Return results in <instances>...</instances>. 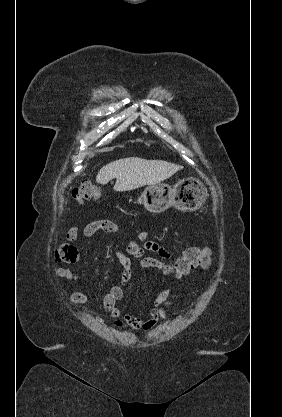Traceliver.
<instances>
[{"label": "liver", "instance_id": "6515ba94", "mask_svg": "<svg viewBox=\"0 0 282 417\" xmlns=\"http://www.w3.org/2000/svg\"><path fill=\"white\" fill-rule=\"evenodd\" d=\"M181 168L184 166L167 160H146L138 156H129L102 166L96 176V182L107 184L111 178H116L114 190H132L144 184H159Z\"/></svg>", "mask_w": 282, "mask_h": 417}]
</instances>
